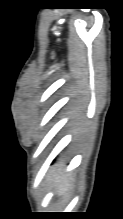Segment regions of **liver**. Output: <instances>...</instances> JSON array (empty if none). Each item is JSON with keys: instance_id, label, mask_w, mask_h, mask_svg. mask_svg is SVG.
I'll return each mask as SVG.
<instances>
[{"instance_id": "6515ba94", "label": "liver", "mask_w": 123, "mask_h": 219, "mask_svg": "<svg viewBox=\"0 0 123 219\" xmlns=\"http://www.w3.org/2000/svg\"><path fill=\"white\" fill-rule=\"evenodd\" d=\"M55 182L58 181L59 176L55 175ZM70 186V181L68 179L63 180V182L58 186V193L64 194L67 190V188Z\"/></svg>"}]
</instances>
